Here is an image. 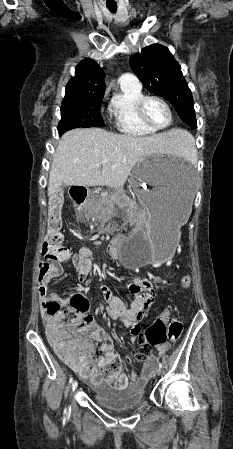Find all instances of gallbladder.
Returning <instances> with one entry per match:
<instances>
[{
    "label": "gallbladder",
    "instance_id": "obj_1",
    "mask_svg": "<svg viewBox=\"0 0 233 449\" xmlns=\"http://www.w3.org/2000/svg\"><path fill=\"white\" fill-rule=\"evenodd\" d=\"M59 193L62 194V190H59Z\"/></svg>",
    "mask_w": 233,
    "mask_h": 449
}]
</instances>
